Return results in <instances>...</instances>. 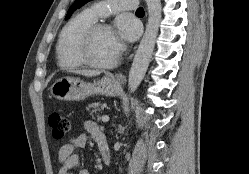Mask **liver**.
I'll return each mask as SVG.
<instances>
[{
	"mask_svg": "<svg viewBox=\"0 0 249 174\" xmlns=\"http://www.w3.org/2000/svg\"><path fill=\"white\" fill-rule=\"evenodd\" d=\"M72 72L86 77H94L100 74L99 71H92V70H73Z\"/></svg>",
	"mask_w": 249,
	"mask_h": 174,
	"instance_id": "liver-1",
	"label": "liver"
}]
</instances>
